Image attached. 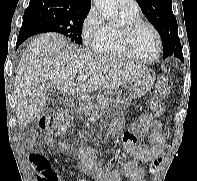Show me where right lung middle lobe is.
Returning a JSON list of instances; mask_svg holds the SVG:
<instances>
[{
  "label": "right lung middle lobe",
  "instance_id": "1",
  "mask_svg": "<svg viewBox=\"0 0 197 181\" xmlns=\"http://www.w3.org/2000/svg\"><path fill=\"white\" fill-rule=\"evenodd\" d=\"M88 12L47 8L26 10L21 28L29 29L36 34L58 32L81 44V29Z\"/></svg>",
  "mask_w": 197,
  "mask_h": 181
}]
</instances>
